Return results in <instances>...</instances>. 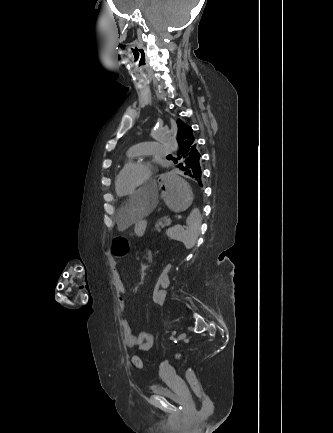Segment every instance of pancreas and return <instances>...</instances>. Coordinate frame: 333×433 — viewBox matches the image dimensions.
Returning a JSON list of instances; mask_svg holds the SVG:
<instances>
[{
  "label": "pancreas",
  "instance_id": "pancreas-1",
  "mask_svg": "<svg viewBox=\"0 0 333 433\" xmlns=\"http://www.w3.org/2000/svg\"><path fill=\"white\" fill-rule=\"evenodd\" d=\"M170 223L171 219L168 216H164L155 223V230L160 232L161 228L168 226Z\"/></svg>",
  "mask_w": 333,
  "mask_h": 433
}]
</instances>
